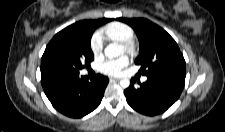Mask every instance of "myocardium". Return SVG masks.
<instances>
[{
    "label": "myocardium",
    "instance_id": "obj_1",
    "mask_svg": "<svg viewBox=\"0 0 225 132\" xmlns=\"http://www.w3.org/2000/svg\"><path fill=\"white\" fill-rule=\"evenodd\" d=\"M121 46L124 48L125 52L129 54H135L137 51L136 44L133 40L121 42Z\"/></svg>",
    "mask_w": 225,
    "mask_h": 132
}]
</instances>
